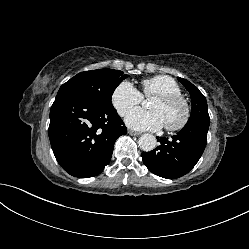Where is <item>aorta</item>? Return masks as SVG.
Masks as SVG:
<instances>
[{
	"mask_svg": "<svg viewBox=\"0 0 249 249\" xmlns=\"http://www.w3.org/2000/svg\"><path fill=\"white\" fill-rule=\"evenodd\" d=\"M138 144L143 151L149 152L155 149L157 140L152 134H142L139 138Z\"/></svg>",
	"mask_w": 249,
	"mask_h": 249,
	"instance_id": "1",
	"label": "aorta"
}]
</instances>
